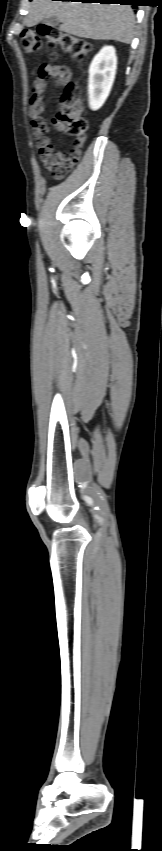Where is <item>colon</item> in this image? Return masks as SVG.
Wrapping results in <instances>:
<instances>
[{
  "label": "colon",
  "mask_w": 162,
  "mask_h": 851,
  "mask_svg": "<svg viewBox=\"0 0 162 851\" xmlns=\"http://www.w3.org/2000/svg\"><path fill=\"white\" fill-rule=\"evenodd\" d=\"M42 38L46 40L47 47L52 51V58L56 57L55 50L60 49L75 60L82 61L92 50V44L83 38L64 32L57 26H43L38 31L26 30L22 33L21 43L24 51L27 54L39 52L42 48ZM82 112L80 92L74 83L69 82L61 95L60 110L56 120L63 131L74 138L75 146L67 160L53 171L56 179H62L80 159L87 129V121Z\"/></svg>",
  "instance_id": "obj_1"
}]
</instances>
